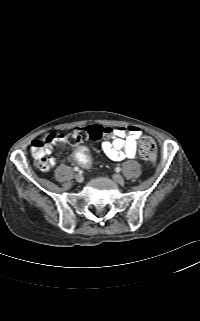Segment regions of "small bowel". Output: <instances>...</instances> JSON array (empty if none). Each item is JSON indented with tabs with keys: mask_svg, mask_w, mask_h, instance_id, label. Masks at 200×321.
<instances>
[{
	"mask_svg": "<svg viewBox=\"0 0 200 321\" xmlns=\"http://www.w3.org/2000/svg\"><path fill=\"white\" fill-rule=\"evenodd\" d=\"M141 136V130L136 126L118 127L112 130L110 137L101 144L102 151L112 161L133 159L137 154V141ZM46 153L52 152L55 143H67L65 133H52L46 136ZM52 166L54 158H49Z\"/></svg>",
	"mask_w": 200,
	"mask_h": 321,
	"instance_id": "obj_1",
	"label": "small bowel"
}]
</instances>
